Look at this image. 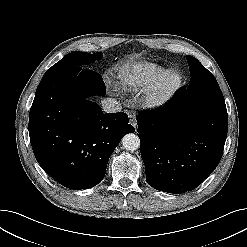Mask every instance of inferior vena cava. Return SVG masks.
I'll return each instance as SVG.
<instances>
[{
    "label": "inferior vena cava",
    "instance_id": "602c4592",
    "mask_svg": "<svg viewBox=\"0 0 247 247\" xmlns=\"http://www.w3.org/2000/svg\"><path fill=\"white\" fill-rule=\"evenodd\" d=\"M102 109L106 113L120 112L122 107L119 101L114 98H106L102 101Z\"/></svg>",
    "mask_w": 247,
    "mask_h": 247
}]
</instances>
